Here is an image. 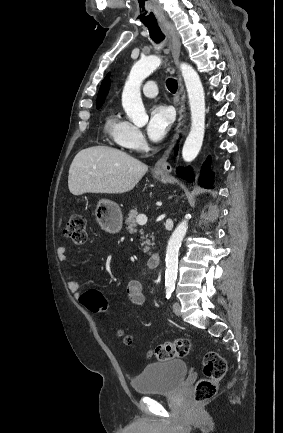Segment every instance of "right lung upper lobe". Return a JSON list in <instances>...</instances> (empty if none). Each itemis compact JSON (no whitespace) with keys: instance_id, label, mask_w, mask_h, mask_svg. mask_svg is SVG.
<instances>
[{"instance_id":"obj_1","label":"right lung upper lobe","mask_w":283,"mask_h":433,"mask_svg":"<svg viewBox=\"0 0 283 433\" xmlns=\"http://www.w3.org/2000/svg\"><path fill=\"white\" fill-rule=\"evenodd\" d=\"M109 86H110V79H109V74L104 78L99 93H98V97H97V108L101 107L106 95L108 94L109 91Z\"/></svg>"}]
</instances>
